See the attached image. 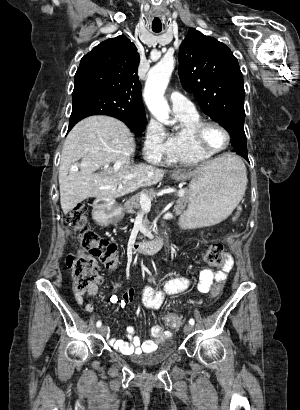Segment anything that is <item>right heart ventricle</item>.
<instances>
[{
    "mask_svg": "<svg viewBox=\"0 0 300 410\" xmlns=\"http://www.w3.org/2000/svg\"><path fill=\"white\" fill-rule=\"evenodd\" d=\"M174 113L181 126L167 133L162 161L167 164L195 165L211 158L212 155L200 151L195 146L192 138L195 126L202 121L199 113Z\"/></svg>",
    "mask_w": 300,
    "mask_h": 410,
    "instance_id": "obj_1",
    "label": "right heart ventricle"
}]
</instances>
